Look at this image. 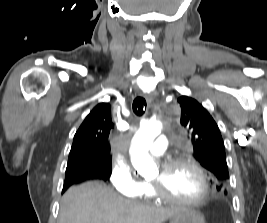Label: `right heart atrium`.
<instances>
[{
	"label": "right heart atrium",
	"mask_w": 267,
	"mask_h": 223,
	"mask_svg": "<svg viewBox=\"0 0 267 223\" xmlns=\"http://www.w3.org/2000/svg\"><path fill=\"white\" fill-rule=\"evenodd\" d=\"M110 181L116 192L128 196H139L143 184L127 162H117L113 166Z\"/></svg>",
	"instance_id": "obj_1"
}]
</instances>
